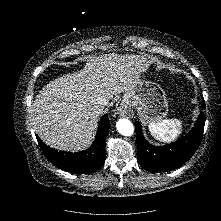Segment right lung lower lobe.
<instances>
[{
  "instance_id": "obj_1",
  "label": "right lung lower lobe",
  "mask_w": 221,
  "mask_h": 221,
  "mask_svg": "<svg viewBox=\"0 0 221 221\" xmlns=\"http://www.w3.org/2000/svg\"><path fill=\"white\" fill-rule=\"evenodd\" d=\"M110 128L107 115L100 120L94 143L86 151L77 153L57 151L45 145L36 135L39 146L46 158L56 167L72 173H92L105 161V139Z\"/></svg>"
}]
</instances>
